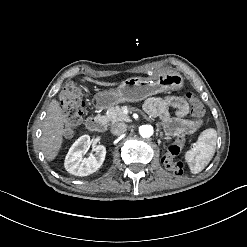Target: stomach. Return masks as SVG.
Here are the masks:
<instances>
[{"label":"stomach","mask_w":247,"mask_h":247,"mask_svg":"<svg viewBox=\"0 0 247 247\" xmlns=\"http://www.w3.org/2000/svg\"><path fill=\"white\" fill-rule=\"evenodd\" d=\"M183 78L176 71H166L156 78H129L115 90L101 92L95 96L97 108H109L120 102L141 101L168 89H178Z\"/></svg>","instance_id":"1"}]
</instances>
